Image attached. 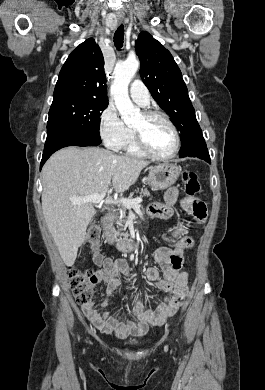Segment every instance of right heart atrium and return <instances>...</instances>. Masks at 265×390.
<instances>
[{"mask_svg":"<svg viewBox=\"0 0 265 390\" xmlns=\"http://www.w3.org/2000/svg\"><path fill=\"white\" fill-rule=\"evenodd\" d=\"M129 129L120 118L116 108L108 105L99 118V133L105 145L120 150L130 135Z\"/></svg>","mask_w":265,"mask_h":390,"instance_id":"right-heart-atrium-1","label":"right heart atrium"}]
</instances>
